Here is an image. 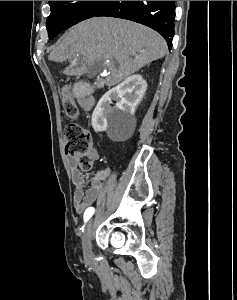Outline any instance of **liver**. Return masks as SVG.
I'll return each mask as SVG.
<instances>
[{
	"label": "liver",
	"mask_w": 237,
	"mask_h": 300,
	"mask_svg": "<svg viewBox=\"0 0 237 300\" xmlns=\"http://www.w3.org/2000/svg\"><path fill=\"white\" fill-rule=\"evenodd\" d=\"M61 39L62 43L52 49L49 61L63 63L71 59L64 75H84L93 63L99 61V69L106 65L110 71L105 81H100L107 87L118 85L167 53V43L156 31L112 17L82 21L71 27Z\"/></svg>",
	"instance_id": "obj_1"
}]
</instances>
